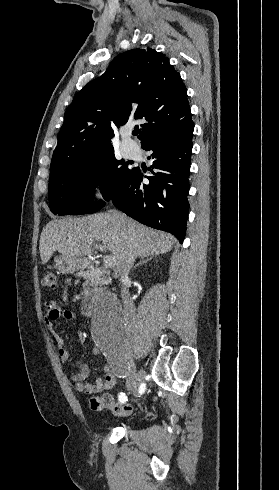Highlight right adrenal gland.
<instances>
[{
  "label": "right adrenal gland",
  "instance_id": "right-adrenal-gland-1",
  "mask_svg": "<svg viewBox=\"0 0 279 490\" xmlns=\"http://www.w3.org/2000/svg\"><path fill=\"white\" fill-rule=\"evenodd\" d=\"M152 258H155V256H148V258H145V260H141L139 264H136V266H134V270H137V268H139V266H143V264H147V262H150Z\"/></svg>",
  "mask_w": 279,
  "mask_h": 490
}]
</instances>
